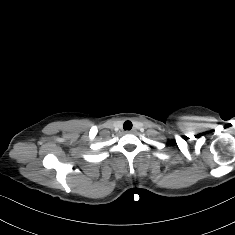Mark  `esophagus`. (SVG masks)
Masks as SVG:
<instances>
[{"label": "esophagus", "mask_w": 235, "mask_h": 235, "mask_svg": "<svg viewBox=\"0 0 235 235\" xmlns=\"http://www.w3.org/2000/svg\"><path fill=\"white\" fill-rule=\"evenodd\" d=\"M129 133H133L134 132V129H132V130H130V131H128Z\"/></svg>", "instance_id": "1"}]
</instances>
